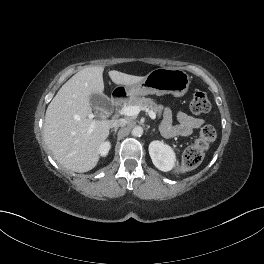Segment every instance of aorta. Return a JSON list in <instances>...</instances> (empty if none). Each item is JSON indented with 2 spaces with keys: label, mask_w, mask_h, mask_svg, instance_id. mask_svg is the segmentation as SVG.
<instances>
[{
  "label": "aorta",
  "mask_w": 264,
  "mask_h": 264,
  "mask_svg": "<svg viewBox=\"0 0 264 264\" xmlns=\"http://www.w3.org/2000/svg\"><path fill=\"white\" fill-rule=\"evenodd\" d=\"M131 133L135 137H140L143 134V128L141 126H136L132 129Z\"/></svg>",
  "instance_id": "aorta-1"
}]
</instances>
